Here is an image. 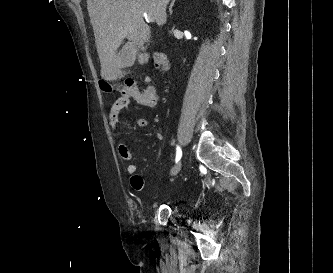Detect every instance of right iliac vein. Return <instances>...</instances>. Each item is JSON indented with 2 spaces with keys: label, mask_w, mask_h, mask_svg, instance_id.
Masks as SVG:
<instances>
[{
  "label": "right iliac vein",
  "mask_w": 333,
  "mask_h": 273,
  "mask_svg": "<svg viewBox=\"0 0 333 273\" xmlns=\"http://www.w3.org/2000/svg\"><path fill=\"white\" fill-rule=\"evenodd\" d=\"M181 169V162H178L171 171V176H176Z\"/></svg>",
  "instance_id": "obj_1"
}]
</instances>
